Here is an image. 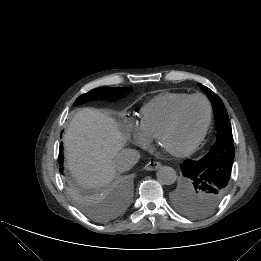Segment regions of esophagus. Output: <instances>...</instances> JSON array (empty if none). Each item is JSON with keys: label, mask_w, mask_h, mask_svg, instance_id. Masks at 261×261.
I'll list each match as a JSON object with an SVG mask.
<instances>
[{"label": "esophagus", "mask_w": 261, "mask_h": 261, "mask_svg": "<svg viewBox=\"0 0 261 261\" xmlns=\"http://www.w3.org/2000/svg\"><path fill=\"white\" fill-rule=\"evenodd\" d=\"M161 167V163L158 161H151L148 162L145 166H144V170L147 171H155L157 169H159Z\"/></svg>", "instance_id": "esophagus-1"}]
</instances>
